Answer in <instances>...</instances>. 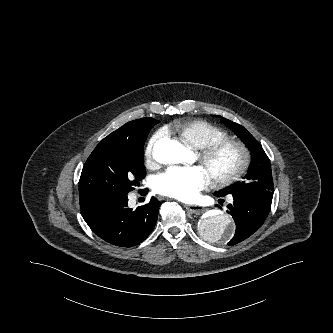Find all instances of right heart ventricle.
<instances>
[{
  "label": "right heart ventricle",
  "mask_w": 333,
  "mask_h": 333,
  "mask_svg": "<svg viewBox=\"0 0 333 333\" xmlns=\"http://www.w3.org/2000/svg\"><path fill=\"white\" fill-rule=\"evenodd\" d=\"M169 128L178 140L193 148H201L228 137L225 130L203 120L179 119Z\"/></svg>",
  "instance_id": "obj_1"
}]
</instances>
